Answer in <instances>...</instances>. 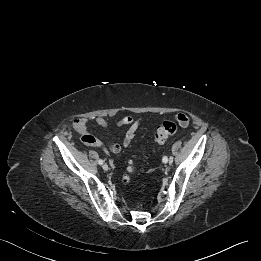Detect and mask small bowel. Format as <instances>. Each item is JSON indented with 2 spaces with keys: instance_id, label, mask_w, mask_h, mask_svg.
Returning a JSON list of instances; mask_svg holds the SVG:
<instances>
[{
  "instance_id": "c3829d8e",
  "label": "small bowel",
  "mask_w": 261,
  "mask_h": 261,
  "mask_svg": "<svg viewBox=\"0 0 261 261\" xmlns=\"http://www.w3.org/2000/svg\"><path fill=\"white\" fill-rule=\"evenodd\" d=\"M176 116H184L188 119L189 117L186 114L180 113ZM94 122L102 127V128H108L109 123L102 117H96L93 119ZM143 119L141 117L133 118L132 116H123L117 121L118 126H125L127 127V130L124 135V139L122 143H112L108 146H105L100 139H98L96 136H94L92 133L88 130V119L86 118H77L73 121L72 125L75 131L80 135L81 141L87 145V146H93V147H99L102 148L106 152H112V153H118L121 151L122 148L128 147L134 136L135 133L139 127V125L142 123ZM189 124V122H188ZM187 124V125H188ZM187 125H181L182 127H186Z\"/></svg>"
}]
</instances>
